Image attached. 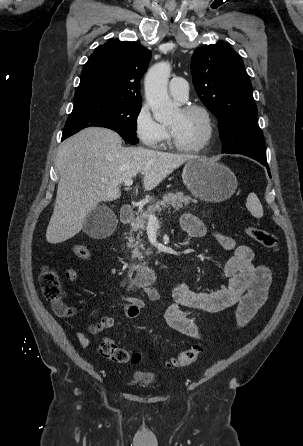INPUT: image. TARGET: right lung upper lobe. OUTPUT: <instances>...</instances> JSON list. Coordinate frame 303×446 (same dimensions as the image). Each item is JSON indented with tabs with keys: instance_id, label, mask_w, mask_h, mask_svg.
Wrapping results in <instances>:
<instances>
[{
	"instance_id": "cb5924a9",
	"label": "right lung upper lobe",
	"mask_w": 303,
	"mask_h": 446,
	"mask_svg": "<svg viewBox=\"0 0 303 446\" xmlns=\"http://www.w3.org/2000/svg\"><path fill=\"white\" fill-rule=\"evenodd\" d=\"M151 51L138 42H107L97 47L81 72L74 107L101 103L141 104L140 79Z\"/></svg>"
}]
</instances>
